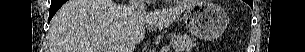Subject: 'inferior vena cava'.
<instances>
[{
  "label": "inferior vena cava",
  "instance_id": "inferior-vena-cava-1",
  "mask_svg": "<svg viewBox=\"0 0 305 52\" xmlns=\"http://www.w3.org/2000/svg\"><path fill=\"white\" fill-rule=\"evenodd\" d=\"M124 10L128 16H133L136 12H144V0H129L124 6ZM135 44L131 41H123L118 47V52H134Z\"/></svg>",
  "mask_w": 305,
  "mask_h": 52
}]
</instances>
